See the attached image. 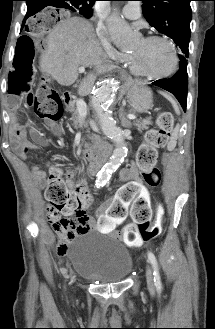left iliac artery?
<instances>
[{"label": "left iliac artery", "instance_id": "left-iliac-artery-1", "mask_svg": "<svg viewBox=\"0 0 215 329\" xmlns=\"http://www.w3.org/2000/svg\"><path fill=\"white\" fill-rule=\"evenodd\" d=\"M148 258L153 267L154 283H155L156 289L158 291H160L162 289V283H161V278H160V274H159V268H158L156 257L152 252H148Z\"/></svg>", "mask_w": 215, "mask_h": 329}]
</instances>
